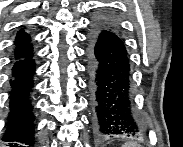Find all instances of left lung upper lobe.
Segmentation results:
<instances>
[{
    "label": "left lung upper lobe",
    "instance_id": "left-lung-upper-lobe-1",
    "mask_svg": "<svg viewBox=\"0 0 183 147\" xmlns=\"http://www.w3.org/2000/svg\"><path fill=\"white\" fill-rule=\"evenodd\" d=\"M98 26L103 27L105 29H109L113 32H116V24L112 21V19L106 17V18H101L97 20L96 23Z\"/></svg>",
    "mask_w": 183,
    "mask_h": 147
}]
</instances>
